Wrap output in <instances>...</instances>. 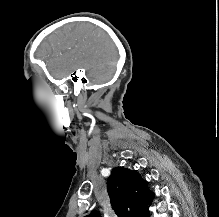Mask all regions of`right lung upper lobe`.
<instances>
[{"label":"right lung upper lobe","mask_w":219,"mask_h":217,"mask_svg":"<svg viewBox=\"0 0 219 217\" xmlns=\"http://www.w3.org/2000/svg\"><path fill=\"white\" fill-rule=\"evenodd\" d=\"M107 191L118 217H149V205L154 194L137 171L114 168L107 182ZM86 217H101L98 211Z\"/></svg>","instance_id":"right-lung-upper-lobe-1"}]
</instances>
